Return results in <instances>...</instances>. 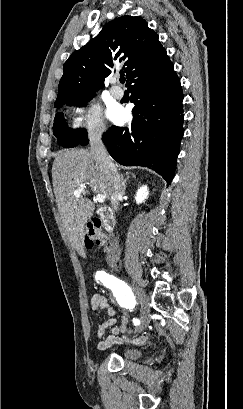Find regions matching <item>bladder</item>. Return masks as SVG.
Instances as JSON below:
<instances>
[{
	"label": "bladder",
	"mask_w": 243,
	"mask_h": 409,
	"mask_svg": "<svg viewBox=\"0 0 243 409\" xmlns=\"http://www.w3.org/2000/svg\"><path fill=\"white\" fill-rule=\"evenodd\" d=\"M119 355L123 360L131 361L140 358L142 351L138 348H125L119 352Z\"/></svg>",
	"instance_id": "obj_1"
}]
</instances>
